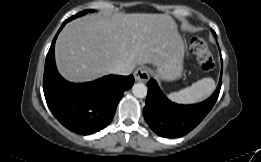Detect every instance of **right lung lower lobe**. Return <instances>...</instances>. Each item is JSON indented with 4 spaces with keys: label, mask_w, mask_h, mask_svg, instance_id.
Listing matches in <instances>:
<instances>
[{
    "label": "right lung lower lobe",
    "mask_w": 261,
    "mask_h": 162,
    "mask_svg": "<svg viewBox=\"0 0 261 162\" xmlns=\"http://www.w3.org/2000/svg\"><path fill=\"white\" fill-rule=\"evenodd\" d=\"M56 34L46 57L43 90L52 114L67 129L89 135L104 129L113 119L118 102L125 90L131 88L134 77L109 75L82 84L70 83L58 73L55 65Z\"/></svg>",
    "instance_id": "obj_1"
}]
</instances>
